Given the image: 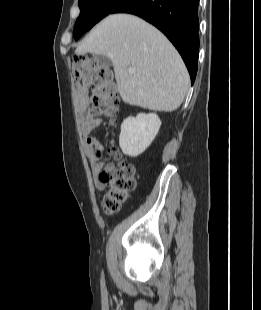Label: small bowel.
<instances>
[{
	"mask_svg": "<svg viewBox=\"0 0 261 310\" xmlns=\"http://www.w3.org/2000/svg\"><path fill=\"white\" fill-rule=\"evenodd\" d=\"M77 96L84 106V102L88 98V89L84 86L77 85ZM99 120L95 119L90 113L85 110H81L79 113V126L81 129V136L85 142L86 154L90 160L91 172L94 179V183L97 189L103 190L104 183L100 180V173L102 172L103 162L101 157L97 155L98 152L104 150L103 145L99 140L92 136L93 132L99 125Z\"/></svg>",
	"mask_w": 261,
	"mask_h": 310,
	"instance_id": "small-bowel-1",
	"label": "small bowel"
}]
</instances>
